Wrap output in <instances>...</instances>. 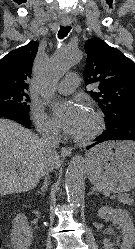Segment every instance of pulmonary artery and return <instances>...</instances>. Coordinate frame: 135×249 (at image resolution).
<instances>
[{
	"instance_id": "pulmonary-artery-1",
	"label": "pulmonary artery",
	"mask_w": 135,
	"mask_h": 249,
	"mask_svg": "<svg viewBox=\"0 0 135 249\" xmlns=\"http://www.w3.org/2000/svg\"><path fill=\"white\" fill-rule=\"evenodd\" d=\"M79 86V75L76 73L68 74L64 80L56 86L61 94H71Z\"/></svg>"
}]
</instances>
